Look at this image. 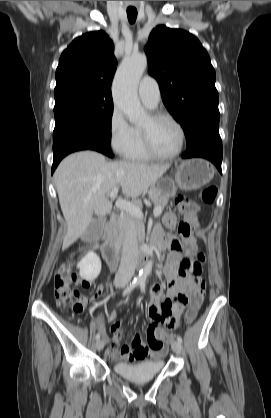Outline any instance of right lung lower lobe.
Instances as JSON below:
<instances>
[{"label": "right lung lower lobe", "instance_id": "1", "mask_svg": "<svg viewBox=\"0 0 271 418\" xmlns=\"http://www.w3.org/2000/svg\"><path fill=\"white\" fill-rule=\"evenodd\" d=\"M95 150L109 157H113L110 149V137L104 133H92L84 136L69 138L53 144L52 173L59 162L68 154L80 150Z\"/></svg>", "mask_w": 271, "mask_h": 418}]
</instances>
